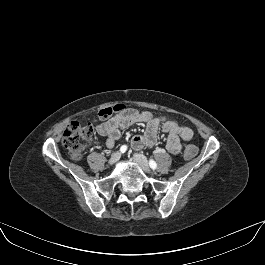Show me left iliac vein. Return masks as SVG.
<instances>
[{"instance_id": "1", "label": "left iliac vein", "mask_w": 265, "mask_h": 265, "mask_svg": "<svg viewBox=\"0 0 265 265\" xmlns=\"http://www.w3.org/2000/svg\"><path fill=\"white\" fill-rule=\"evenodd\" d=\"M135 162L141 167V169L150 174L152 171L149 168L147 158L143 154L136 153L133 155Z\"/></svg>"}]
</instances>
